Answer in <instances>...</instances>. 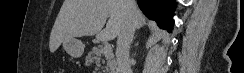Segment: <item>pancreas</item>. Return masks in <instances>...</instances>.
Listing matches in <instances>:
<instances>
[{"label":"pancreas","mask_w":244,"mask_h":73,"mask_svg":"<svg viewBox=\"0 0 244 73\" xmlns=\"http://www.w3.org/2000/svg\"><path fill=\"white\" fill-rule=\"evenodd\" d=\"M103 57L107 60L106 70L109 71V73H116L117 64L113 52L104 53L103 48L94 47L89 51L85 59L86 64H96L97 66H100L101 61L104 63V60L102 59Z\"/></svg>","instance_id":"pancreas-1"}]
</instances>
